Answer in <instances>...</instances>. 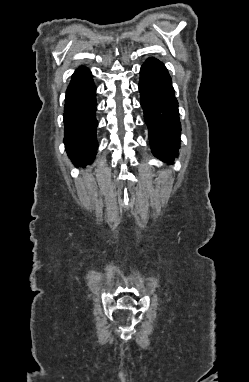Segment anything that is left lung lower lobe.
Wrapping results in <instances>:
<instances>
[{
	"label": "left lung lower lobe",
	"mask_w": 249,
	"mask_h": 382,
	"mask_svg": "<svg viewBox=\"0 0 249 382\" xmlns=\"http://www.w3.org/2000/svg\"><path fill=\"white\" fill-rule=\"evenodd\" d=\"M139 91L152 153L163 162L178 156L180 123L178 102L164 64L149 58L140 69Z\"/></svg>",
	"instance_id": "0a47b994"
}]
</instances>
